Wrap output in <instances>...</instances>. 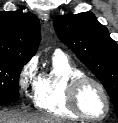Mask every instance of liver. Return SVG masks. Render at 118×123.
<instances>
[{"label": "liver", "mask_w": 118, "mask_h": 123, "mask_svg": "<svg viewBox=\"0 0 118 123\" xmlns=\"http://www.w3.org/2000/svg\"><path fill=\"white\" fill-rule=\"evenodd\" d=\"M0 123H66L60 118L43 114L0 111Z\"/></svg>", "instance_id": "liver-1"}]
</instances>
